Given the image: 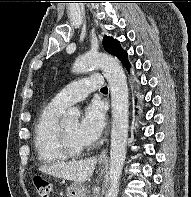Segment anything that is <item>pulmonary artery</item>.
Here are the masks:
<instances>
[{
  "mask_svg": "<svg viewBox=\"0 0 191 197\" xmlns=\"http://www.w3.org/2000/svg\"><path fill=\"white\" fill-rule=\"evenodd\" d=\"M103 86V77L100 74L90 75L89 77L74 81L64 87L52 99V102L59 107L68 106L81 101L91 92Z\"/></svg>",
  "mask_w": 191,
  "mask_h": 197,
  "instance_id": "1",
  "label": "pulmonary artery"
}]
</instances>
